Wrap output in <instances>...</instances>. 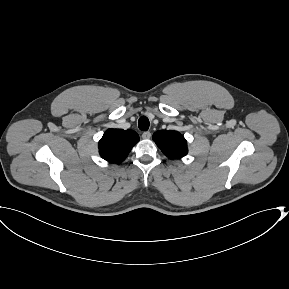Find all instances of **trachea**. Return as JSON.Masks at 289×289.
Instances as JSON below:
<instances>
[{"label":"trachea","mask_w":289,"mask_h":289,"mask_svg":"<svg viewBox=\"0 0 289 289\" xmlns=\"http://www.w3.org/2000/svg\"><path fill=\"white\" fill-rule=\"evenodd\" d=\"M138 127L142 131H147L149 129V119L146 116H142L138 120Z\"/></svg>","instance_id":"1"}]
</instances>
